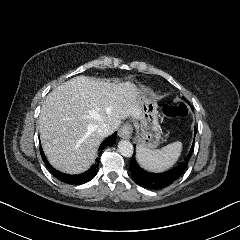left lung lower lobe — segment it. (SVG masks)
<instances>
[{"label":"left lung lower lobe","mask_w":240,"mask_h":240,"mask_svg":"<svg viewBox=\"0 0 240 240\" xmlns=\"http://www.w3.org/2000/svg\"><path fill=\"white\" fill-rule=\"evenodd\" d=\"M192 150L193 146L184 162L180 163L175 168L160 174L150 173L142 169L133 155L130 163L132 179L144 188L155 190L164 188L173 183L184 172L187 167V161L191 157Z\"/></svg>","instance_id":"0a47b994"}]
</instances>
